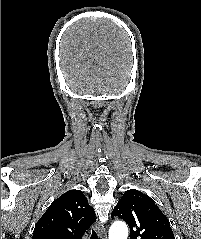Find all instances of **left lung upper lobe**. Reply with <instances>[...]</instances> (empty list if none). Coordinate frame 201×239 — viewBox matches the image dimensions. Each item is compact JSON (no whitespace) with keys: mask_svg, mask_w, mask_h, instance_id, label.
Listing matches in <instances>:
<instances>
[{"mask_svg":"<svg viewBox=\"0 0 201 239\" xmlns=\"http://www.w3.org/2000/svg\"><path fill=\"white\" fill-rule=\"evenodd\" d=\"M111 216L127 222L130 239H175L167 217L149 196L138 190H127Z\"/></svg>","mask_w":201,"mask_h":239,"instance_id":"left-lung-upper-lobe-1","label":"left lung upper lobe"}]
</instances>
